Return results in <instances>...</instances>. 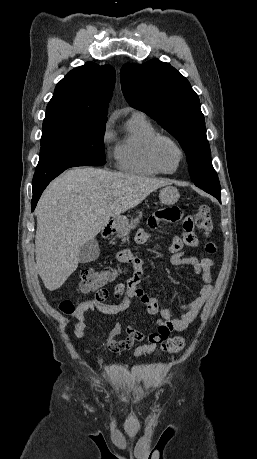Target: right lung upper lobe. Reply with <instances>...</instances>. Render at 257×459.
<instances>
[{
  "mask_svg": "<svg viewBox=\"0 0 257 459\" xmlns=\"http://www.w3.org/2000/svg\"><path fill=\"white\" fill-rule=\"evenodd\" d=\"M115 79V70L110 65L89 62L73 69L57 84L46 115L106 122Z\"/></svg>",
  "mask_w": 257,
  "mask_h": 459,
  "instance_id": "obj_1",
  "label": "right lung upper lobe"
}]
</instances>
